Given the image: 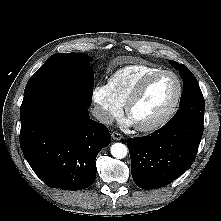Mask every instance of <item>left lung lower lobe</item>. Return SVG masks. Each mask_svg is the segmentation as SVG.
<instances>
[{"mask_svg":"<svg viewBox=\"0 0 221 221\" xmlns=\"http://www.w3.org/2000/svg\"><path fill=\"white\" fill-rule=\"evenodd\" d=\"M204 112L179 110L162 128L149 136L129 138L134 182L142 189L165 186L194 162L203 133Z\"/></svg>","mask_w":221,"mask_h":221,"instance_id":"obj_1","label":"left lung lower lobe"}]
</instances>
